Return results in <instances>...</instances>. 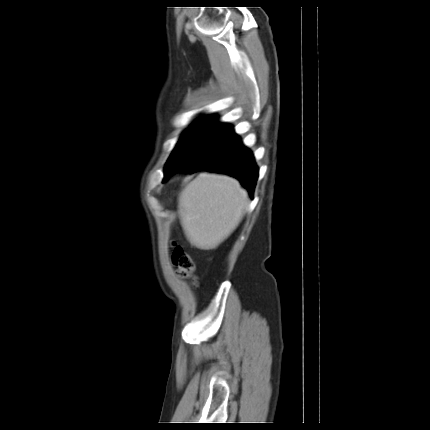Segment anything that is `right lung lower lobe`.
Instances as JSON below:
<instances>
[{"mask_svg": "<svg viewBox=\"0 0 430 430\" xmlns=\"http://www.w3.org/2000/svg\"><path fill=\"white\" fill-rule=\"evenodd\" d=\"M201 170L235 177L251 196L258 177V168L252 153L242 145L241 139L233 132L227 134L176 172L194 173ZM170 176H165L163 181Z\"/></svg>", "mask_w": 430, "mask_h": 430, "instance_id": "1", "label": "right lung lower lobe"}]
</instances>
